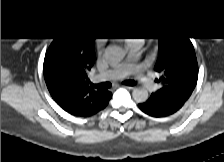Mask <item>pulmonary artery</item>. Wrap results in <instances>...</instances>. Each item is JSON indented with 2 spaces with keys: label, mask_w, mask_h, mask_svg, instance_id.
<instances>
[{
  "label": "pulmonary artery",
  "mask_w": 224,
  "mask_h": 162,
  "mask_svg": "<svg viewBox=\"0 0 224 162\" xmlns=\"http://www.w3.org/2000/svg\"><path fill=\"white\" fill-rule=\"evenodd\" d=\"M137 54H135V57L137 58ZM130 56L129 62L125 65L118 66L116 68H112L105 72L102 75H99L95 78V80L100 81H115L122 79L130 74H132L133 79L140 83L143 87L146 89L152 90L155 87V83L151 80V78L146 75L139 67L138 63L135 61V59H131Z\"/></svg>",
  "instance_id": "e3ab8cb5"
}]
</instances>
